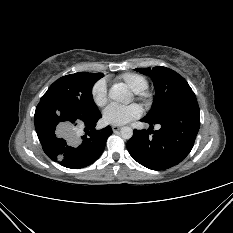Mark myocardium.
I'll return each mask as SVG.
<instances>
[{
	"label": "myocardium",
	"mask_w": 233,
	"mask_h": 233,
	"mask_svg": "<svg viewBox=\"0 0 233 233\" xmlns=\"http://www.w3.org/2000/svg\"><path fill=\"white\" fill-rule=\"evenodd\" d=\"M136 94L144 99H146L150 96V93L147 90H142L140 92H136Z\"/></svg>",
	"instance_id": "1"
}]
</instances>
